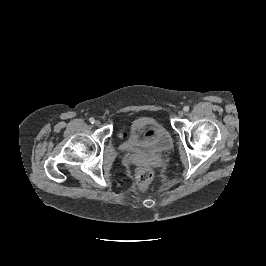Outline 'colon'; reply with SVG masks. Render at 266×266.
Here are the masks:
<instances>
[{"label": "colon", "mask_w": 266, "mask_h": 266, "mask_svg": "<svg viewBox=\"0 0 266 266\" xmlns=\"http://www.w3.org/2000/svg\"><path fill=\"white\" fill-rule=\"evenodd\" d=\"M153 176L152 169L149 166H141L136 172V183L141 188H146L151 182Z\"/></svg>", "instance_id": "obj_1"}]
</instances>
